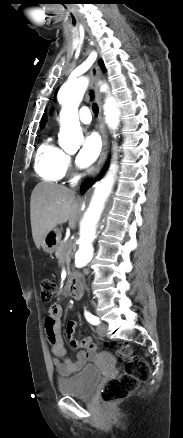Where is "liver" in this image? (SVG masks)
Returning <instances> with one entry per match:
<instances>
[{"label": "liver", "mask_w": 183, "mask_h": 438, "mask_svg": "<svg viewBox=\"0 0 183 438\" xmlns=\"http://www.w3.org/2000/svg\"><path fill=\"white\" fill-rule=\"evenodd\" d=\"M79 201L75 191L41 182L36 185L30 201L31 228L34 243L41 246L44 236L57 225L69 222L75 228Z\"/></svg>", "instance_id": "6515ba94"}]
</instances>
